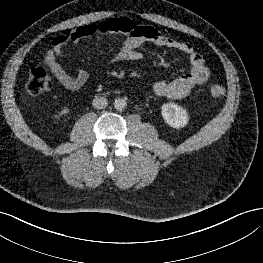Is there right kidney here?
<instances>
[{"label":"right kidney","mask_w":263,"mask_h":263,"mask_svg":"<svg viewBox=\"0 0 263 263\" xmlns=\"http://www.w3.org/2000/svg\"><path fill=\"white\" fill-rule=\"evenodd\" d=\"M69 113V109L65 108L62 111L59 112L58 118L62 117V116H66Z\"/></svg>","instance_id":"1"}]
</instances>
